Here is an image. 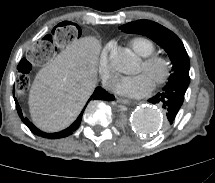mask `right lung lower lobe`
<instances>
[{
  "label": "right lung lower lobe",
  "mask_w": 215,
  "mask_h": 183,
  "mask_svg": "<svg viewBox=\"0 0 215 183\" xmlns=\"http://www.w3.org/2000/svg\"><path fill=\"white\" fill-rule=\"evenodd\" d=\"M14 100H15L16 108H17V111H18V114H19L20 118L25 123V125H27V127L35 135H38V136H41V137H44V138H48V139H58V138L67 137V136L71 135L75 130H77V128L79 127V125L81 123L83 111L78 116V118L75 120V122L71 126H69L68 128H66V129H64V130H62L60 132H56V133L43 132V131L39 130L37 127H35L27 118L23 117L21 109H20V106H19L18 101H17V99L15 97H14ZM90 100H107V101H111V100H114V96L109 94L108 92H106L103 88L97 87L88 101H90Z\"/></svg>",
  "instance_id": "right-lung-lower-lobe-1"
}]
</instances>
